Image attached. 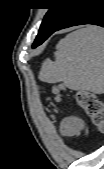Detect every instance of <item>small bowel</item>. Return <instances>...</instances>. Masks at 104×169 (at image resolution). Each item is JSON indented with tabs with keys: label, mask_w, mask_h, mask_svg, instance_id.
I'll use <instances>...</instances> for the list:
<instances>
[{
	"label": "small bowel",
	"mask_w": 104,
	"mask_h": 169,
	"mask_svg": "<svg viewBox=\"0 0 104 169\" xmlns=\"http://www.w3.org/2000/svg\"><path fill=\"white\" fill-rule=\"evenodd\" d=\"M84 128L83 121L78 117H68L62 121L61 132L66 137L78 135Z\"/></svg>",
	"instance_id": "c3829d8e"
}]
</instances>
